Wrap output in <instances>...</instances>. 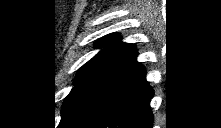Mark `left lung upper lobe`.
<instances>
[{
  "instance_id": "left-lung-upper-lobe-1",
  "label": "left lung upper lobe",
  "mask_w": 221,
  "mask_h": 128,
  "mask_svg": "<svg viewBox=\"0 0 221 128\" xmlns=\"http://www.w3.org/2000/svg\"><path fill=\"white\" fill-rule=\"evenodd\" d=\"M96 47L104 48L80 68L74 87L61 108L59 127L97 101L140 65L136 61V47L122 43L117 33L104 36Z\"/></svg>"
}]
</instances>
